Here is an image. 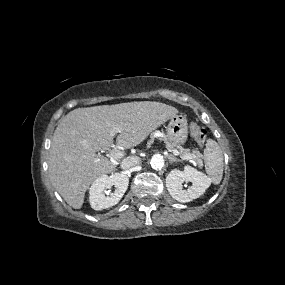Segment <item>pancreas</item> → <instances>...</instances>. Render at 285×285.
I'll return each instance as SVG.
<instances>
[{
  "label": "pancreas",
  "instance_id": "1",
  "mask_svg": "<svg viewBox=\"0 0 285 285\" xmlns=\"http://www.w3.org/2000/svg\"><path fill=\"white\" fill-rule=\"evenodd\" d=\"M153 139L154 137L152 136L151 140L149 141V143H152L153 142ZM161 140H163V137H160ZM166 146L169 150H180V154L181 156H185V155H194V157H192L191 159H194L198 165H201L202 164V154L198 151V150H194L193 153H190L189 152V149H184L182 148L181 146H176L170 142H168L166 140Z\"/></svg>",
  "mask_w": 285,
  "mask_h": 285
}]
</instances>
